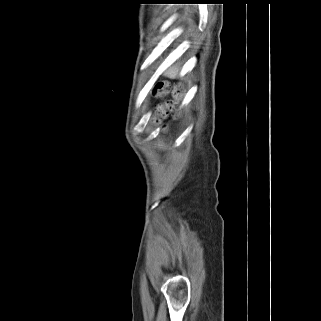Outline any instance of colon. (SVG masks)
I'll return each mask as SVG.
<instances>
[{
  "label": "colon",
  "instance_id": "5ec220e1",
  "mask_svg": "<svg viewBox=\"0 0 321 321\" xmlns=\"http://www.w3.org/2000/svg\"><path fill=\"white\" fill-rule=\"evenodd\" d=\"M157 90H158L159 93H161L163 91V87L160 86V87H158ZM181 92H182V88L181 87H177V88L174 89V93L176 95H179ZM168 109H170V110L172 109V103L169 104Z\"/></svg>",
  "mask_w": 321,
  "mask_h": 321
}]
</instances>
